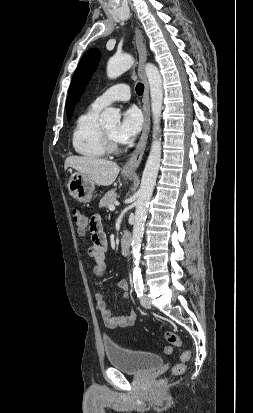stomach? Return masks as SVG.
Masks as SVG:
<instances>
[{"label": "stomach", "instance_id": "1", "mask_svg": "<svg viewBox=\"0 0 253 413\" xmlns=\"http://www.w3.org/2000/svg\"><path fill=\"white\" fill-rule=\"evenodd\" d=\"M127 178L132 179L131 175H126ZM67 188L69 194L79 202H90L95 190V183L91 181L85 174L81 172H74L68 179Z\"/></svg>", "mask_w": 253, "mask_h": 413}]
</instances>
